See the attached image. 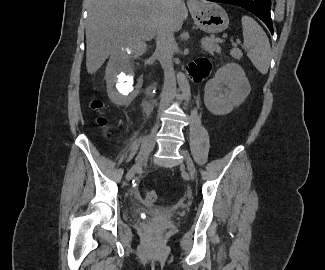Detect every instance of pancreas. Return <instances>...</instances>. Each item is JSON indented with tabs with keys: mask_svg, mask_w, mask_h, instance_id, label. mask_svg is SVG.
<instances>
[{
	"mask_svg": "<svg viewBox=\"0 0 325 270\" xmlns=\"http://www.w3.org/2000/svg\"><path fill=\"white\" fill-rule=\"evenodd\" d=\"M205 49L207 50V51H209L210 53H214V52H218V53H220V51H221V48H220V46L218 45V44H216L215 42H209V45L207 46V47H205ZM230 55L233 57V58H235V59H237V60H240L241 59V57H242V52H241V50H239L238 48H233L231 51H230Z\"/></svg>",
	"mask_w": 325,
	"mask_h": 270,
	"instance_id": "pancreas-1",
	"label": "pancreas"
}]
</instances>
